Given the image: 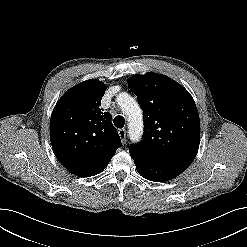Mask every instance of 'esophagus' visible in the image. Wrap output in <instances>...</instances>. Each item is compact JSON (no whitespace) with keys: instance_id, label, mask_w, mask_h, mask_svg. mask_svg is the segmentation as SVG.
I'll return each instance as SVG.
<instances>
[{"instance_id":"obj_1","label":"esophagus","mask_w":247,"mask_h":247,"mask_svg":"<svg viewBox=\"0 0 247 247\" xmlns=\"http://www.w3.org/2000/svg\"><path fill=\"white\" fill-rule=\"evenodd\" d=\"M118 133H119V136H120L122 143L125 144V142H126V130L125 129H119Z\"/></svg>"}]
</instances>
